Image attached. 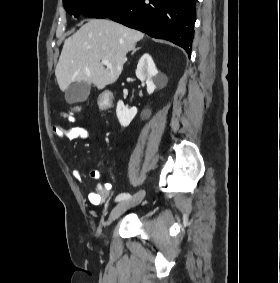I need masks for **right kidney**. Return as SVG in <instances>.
Masks as SVG:
<instances>
[{
  "mask_svg": "<svg viewBox=\"0 0 280 283\" xmlns=\"http://www.w3.org/2000/svg\"><path fill=\"white\" fill-rule=\"evenodd\" d=\"M136 76L141 82L146 83L148 94H152L166 81V77L158 72L152 57L147 53L143 54L138 62ZM116 114L121 126L127 127L137 114V108H128L123 101H118Z\"/></svg>",
  "mask_w": 280,
  "mask_h": 283,
  "instance_id": "ca27d5eb",
  "label": "right kidney"
}]
</instances>
